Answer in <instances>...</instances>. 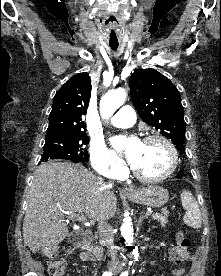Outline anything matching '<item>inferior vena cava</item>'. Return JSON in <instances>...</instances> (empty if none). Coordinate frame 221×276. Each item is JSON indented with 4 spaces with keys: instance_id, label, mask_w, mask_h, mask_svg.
<instances>
[{
    "instance_id": "602c4592",
    "label": "inferior vena cava",
    "mask_w": 221,
    "mask_h": 276,
    "mask_svg": "<svg viewBox=\"0 0 221 276\" xmlns=\"http://www.w3.org/2000/svg\"><path fill=\"white\" fill-rule=\"evenodd\" d=\"M97 221H98V232H99L100 244L110 249L111 266L119 267L120 261L118 259L117 251L113 245L114 235L112 232V227L105 220L99 219Z\"/></svg>"
}]
</instances>
